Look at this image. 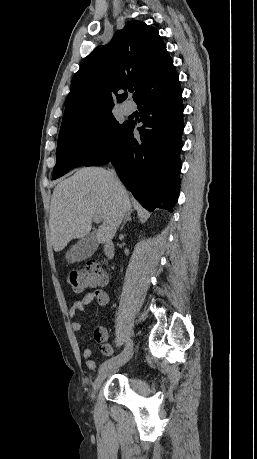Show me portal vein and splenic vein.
<instances>
[{"mask_svg": "<svg viewBox=\"0 0 257 459\" xmlns=\"http://www.w3.org/2000/svg\"><path fill=\"white\" fill-rule=\"evenodd\" d=\"M94 221H95L96 223L101 222V217L95 215V216H94Z\"/></svg>", "mask_w": 257, "mask_h": 459, "instance_id": "obj_1", "label": "portal vein and splenic vein"}]
</instances>
